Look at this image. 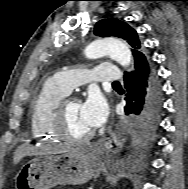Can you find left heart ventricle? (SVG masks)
<instances>
[{
    "label": "left heart ventricle",
    "instance_id": "left-heart-ventricle-1",
    "mask_svg": "<svg viewBox=\"0 0 188 189\" xmlns=\"http://www.w3.org/2000/svg\"><path fill=\"white\" fill-rule=\"evenodd\" d=\"M66 127L73 136H82L91 131L82 115V103L73 101L68 105Z\"/></svg>",
    "mask_w": 188,
    "mask_h": 189
}]
</instances>
